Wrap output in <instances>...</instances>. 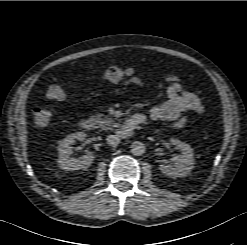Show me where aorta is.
Masks as SVG:
<instances>
[{"instance_id":"1","label":"aorta","mask_w":247,"mask_h":245,"mask_svg":"<svg viewBox=\"0 0 247 245\" xmlns=\"http://www.w3.org/2000/svg\"><path fill=\"white\" fill-rule=\"evenodd\" d=\"M130 149L132 154L139 156L145 153L146 147L142 142L135 141L131 144Z\"/></svg>"}]
</instances>
